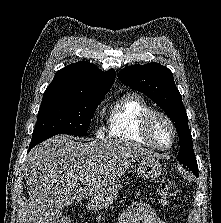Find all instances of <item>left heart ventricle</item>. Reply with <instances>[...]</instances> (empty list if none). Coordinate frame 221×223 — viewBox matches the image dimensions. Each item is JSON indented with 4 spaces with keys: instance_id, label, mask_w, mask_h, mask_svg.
<instances>
[{
    "instance_id": "left-heart-ventricle-1",
    "label": "left heart ventricle",
    "mask_w": 221,
    "mask_h": 223,
    "mask_svg": "<svg viewBox=\"0 0 221 223\" xmlns=\"http://www.w3.org/2000/svg\"><path fill=\"white\" fill-rule=\"evenodd\" d=\"M152 136L154 140L162 145H168L172 140V132L165 120L156 118L152 124Z\"/></svg>"
}]
</instances>
